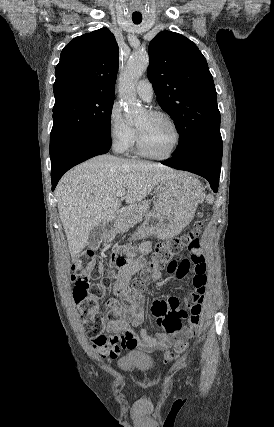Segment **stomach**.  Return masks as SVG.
I'll return each instance as SVG.
<instances>
[{"label": "stomach", "instance_id": "obj_1", "mask_svg": "<svg viewBox=\"0 0 274 427\" xmlns=\"http://www.w3.org/2000/svg\"><path fill=\"white\" fill-rule=\"evenodd\" d=\"M193 180L196 178L182 172H178L174 180H162L157 188L155 210L145 215L141 227L134 233L135 237L155 233L160 239H170L180 233L191 221L202 196V188L191 186ZM108 237H113V233Z\"/></svg>", "mask_w": 274, "mask_h": 427}]
</instances>
